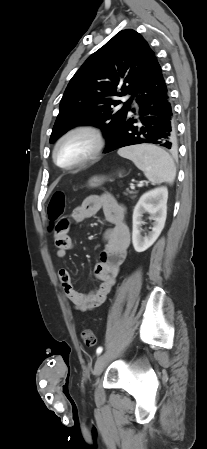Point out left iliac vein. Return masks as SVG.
I'll list each match as a JSON object with an SVG mask.
<instances>
[{
	"instance_id": "1",
	"label": "left iliac vein",
	"mask_w": 207,
	"mask_h": 449,
	"mask_svg": "<svg viewBox=\"0 0 207 449\" xmlns=\"http://www.w3.org/2000/svg\"><path fill=\"white\" fill-rule=\"evenodd\" d=\"M110 354L109 353H103L102 355H100L96 362H95V366H94V370L93 373L96 376H99L103 370L105 369L108 359H109Z\"/></svg>"
}]
</instances>
